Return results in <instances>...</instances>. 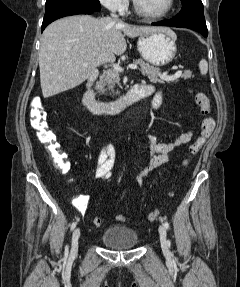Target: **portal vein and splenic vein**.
Listing matches in <instances>:
<instances>
[{"label": "portal vein and splenic vein", "instance_id": "obj_1", "mask_svg": "<svg viewBox=\"0 0 240 287\" xmlns=\"http://www.w3.org/2000/svg\"><path fill=\"white\" fill-rule=\"evenodd\" d=\"M112 67H113V69L114 70H116V71H119V72H122L123 71V68L122 67H120V65L119 64H115V63H113L112 64ZM127 68H129V69H138V66L136 65V64H129L128 66H127ZM181 74H182V71L181 70H178L175 74H173V75H167L166 73H163L162 75H160V77L162 78V79H164V80H174V79H176V78H178L179 76H181Z\"/></svg>", "mask_w": 240, "mask_h": 287}]
</instances>
